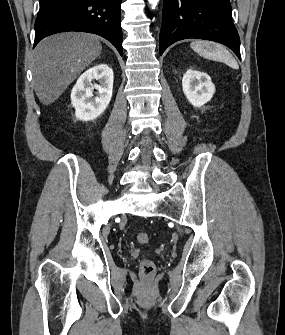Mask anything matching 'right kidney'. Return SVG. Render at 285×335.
I'll use <instances>...</instances> for the list:
<instances>
[{"mask_svg":"<svg viewBox=\"0 0 285 335\" xmlns=\"http://www.w3.org/2000/svg\"><path fill=\"white\" fill-rule=\"evenodd\" d=\"M93 80H99L100 84H92ZM112 90L113 70L107 64H96L90 70H86L78 78L71 92V104L75 108L77 120H96L105 112L112 98Z\"/></svg>","mask_w":285,"mask_h":335,"instance_id":"1","label":"right kidney"}]
</instances>
